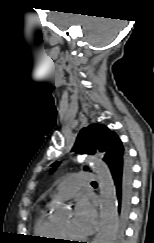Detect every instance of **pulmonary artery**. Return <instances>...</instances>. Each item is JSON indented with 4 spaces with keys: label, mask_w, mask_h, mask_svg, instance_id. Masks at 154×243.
<instances>
[{
    "label": "pulmonary artery",
    "mask_w": 154,
    "mask_h": 243,
    "mask_svg": "<svg viewBox=\"0 0 154 243\" xmlns=\"http://www.w3.org/2000/svg\"><path fill=\"white\" fill-rule=\"evenodd\" d=\"M95 179L96 174L93 172H78L60 183L56 190L60 198L67 200L74 197L85 184Z\"/></svg>",
    "instance_id": "1"
}]
</instances>
